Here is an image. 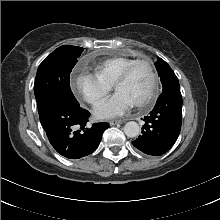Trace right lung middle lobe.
Wrapping results in <instances>:
<instances>
[{
  "label": "right lung middle lobe",
  "mask_w": 220,
  "mask_h": 220,
  "mask_svg": "<svg viewBox=\"0 0 220 220\" xmlns=\"http://www.w3.org/2000/svg\"><path fill=\"white\" fill-rule=\"evenodd\" d=\"M82 52L81 47L64 45L53 51L39 65L34 83L38 113L56 100L78 103L71 91L69 79Z\"/></svg>",
  "instance_id": "right-lung-middle-lobe-1"
}]
</instances>
